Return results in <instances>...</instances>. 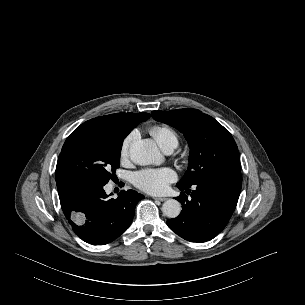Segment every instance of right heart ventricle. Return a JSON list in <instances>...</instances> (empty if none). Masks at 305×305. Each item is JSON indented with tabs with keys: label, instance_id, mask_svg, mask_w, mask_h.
<instances>
[{
	"label": "right heart ventricle",
	"instance_id": "1",
	"mask_svg": "<svg viewBox=\"0 0 305 305\" xmlns=\"http://www.w3.org/2000/svg\"><path fill=\"white\" fill-rule=\"evenodd\" d=\"M150 133L163 150L175 148L179 143L178 134L168 126L155 125L150 129Z\"/></svg>",
	"mask_w": 305,
	"mask_h": 305
}]
</instances>
